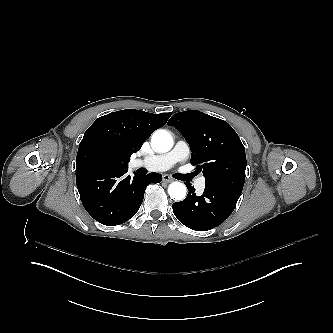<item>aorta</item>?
<instances>
[{"instance_id": "1", "label": "aorta", "mask_w": 333, "mask_h": 333, "mask_svg": "<svg viewBox=\"0 0 333 333\" xmlns=\"http://www.w3.org/2000/svg\"><path fill=\"white\" fill-rule=\"evenodd\" d=\"M152 147L160 152H168L173 146L172 136L163 129L156 130L151 138ZM168 194L176 200H182L186 195V186L178 181H174L168 186Z\"/></svg>"}]
</instances>
